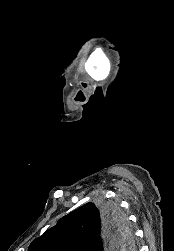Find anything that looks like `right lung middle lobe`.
Returning <instances> with one entry per match:
<instances>
[{
  "label": "right lung middle lobe",
  "mask_w": 174,
  "mask_h": 251,
  "mask_svg": "<svg viewBox=\"0 0 174 251\" xmlns=\"http://www.w3.org/2000/svg\"><path fill=\"white\" fill-rule=\"evenodd\" d=\"M99 209L105 218L116 227V233L122 237L123 242L120 250H134L135 244L132 230L126 215L115 202L103 201L98 204Z\"/></svg>",
  "instance_id": "right-lung-middle-lobe-1"
}]
</instances>
